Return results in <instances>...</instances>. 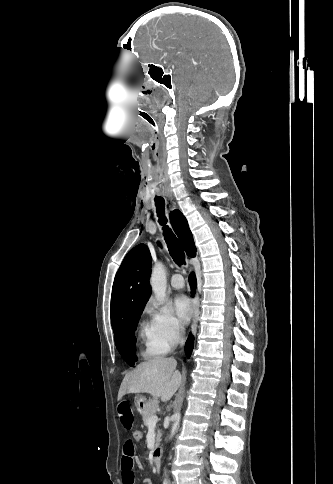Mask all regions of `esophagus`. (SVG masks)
Returning <instances> with one entry per match:
<instances>
[{
  "instance_id": "obj_1",
  "label": "esophagus",
  "mask_w": 333,
  "mask_h": 484,
  "mask_svg": "<svg viewBox=\"0 0 333 484\" xmlns=\"http://www.w3.org/2000/svg\"><path fill=\"white\" fill-rule=\"evenodd\" d=\"M193 309H194V314H193V320L191 324V331H192V334L195 335L197 332V326H198V320H199V314H200L199 299L197 295H195L193 298Z\"/></svg>"
}]
</instances>
